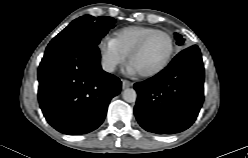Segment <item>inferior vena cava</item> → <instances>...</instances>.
Wrapping results in <instances>:
<instances>
[{
	"label": "inferior vena cava",
	"instance_id": "1",
	"mask_svg": "<svg viewBox=\"0 0 248 158\" xmlns=\"http://www.w3.org/2000/svg\"><path fill=\"white\" fill-rule=\"evenodd\" d=\"M116 65L112 62H103L102 63V68L106 72H113L115 70Z\"/></svg>",
	"mask_w": 248,
	"mask_h": 158
}]
</instances>
